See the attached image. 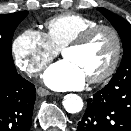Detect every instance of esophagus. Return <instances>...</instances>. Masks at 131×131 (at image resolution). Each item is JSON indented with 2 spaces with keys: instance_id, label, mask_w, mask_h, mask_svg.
<instances>
[{
  "instance_id": "obj_1",
  "label": "esophagus",
  "mask_w": 131,
  "mask_h": 131,
  "mask_svg": "<svg viewBox=\"0 0 131 131\" xmlns=\"http://www.w3.org/2000/svg\"><path fill=\"white\" fill-rule=\"evenodd\" d=\"M37 94L41 97H44V96H47V95H50L51 92L43 87H39L37 89Z\"/></svg>"
}]
</instances>
